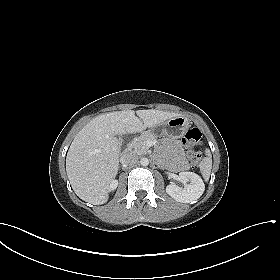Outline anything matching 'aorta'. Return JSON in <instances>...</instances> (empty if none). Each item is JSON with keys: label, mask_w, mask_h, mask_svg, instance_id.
<instances>
[{"label": "aorta", "mask_w": 280, "mask_h": 280, "mask_svg": "<svg viewBox=\"0 0 280 280\" xmlns=\"http://www.w3.org/2000/svg\"><path fill=\"white\" fill-rule=\"evenodd\" d=\"M140 163L142 166H148L149 160H148V158L143 157V158H141Z\"/></svg>", "instance_id": "762f6f07"}]
</instances>
